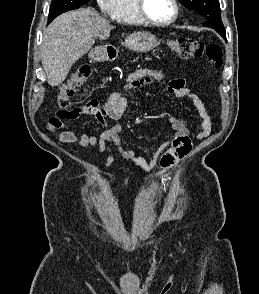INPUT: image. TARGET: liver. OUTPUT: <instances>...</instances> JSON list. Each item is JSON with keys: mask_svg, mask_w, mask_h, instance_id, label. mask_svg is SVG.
I'll return each instance as SVG.
<instances>
[{"mask_svg": "<svg viewBox=\"0 0 259 294\" xmlns=\"http://www.w3.org/2000/svg\"><path fill=\"white\" fill-rule=\"evenodd\" d=\"M114 27L91 9H78L58 16L44 30L41 61L52 87L61 84L71 66L92 47L97 37L106 39Z\"/></svg>", "mask_w": 259, "mask_h": 294, "instance_id": "1", "label": "liver"}]
</instances>
